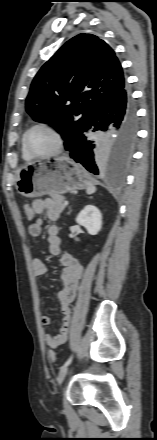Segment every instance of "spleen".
Returning <instances> with one entry per match:
<instances>
[{"label": "spleen", "instance_id": "obj_1", "mask_svg": "<svg viewBox=\"0 0 157 440\" xmlns=\"http://www.w3.org/2000/svg\"><path fill=\"white\" fill-rule=\"evenodd\" d=\"M96 192V187L94 186V184L91 181H88L87 183V187H86V193L88 195L93 194Z\"/></svg>", "mask_w": 157, "mask_h": 440}]
</instances>
